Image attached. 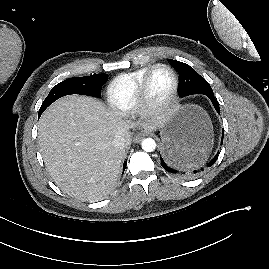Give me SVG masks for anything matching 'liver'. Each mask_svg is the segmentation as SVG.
Returning <instances> with one entry per match:
<instances>
[{"label": "liver", "instance_id": "6515ba94", "mask_svg": "<svg viewBox=\"0 0 269 269\" xmlns=\"http://www.w3.org/2000/svg\"><path fill=\"white\" fill-rule=\"evenodd\" d=\"M159 115L141 124L148 131L163 127ZM135 126L98 99L70 95L54 102L38 122V143L45 166L62 191L79 200H97L117 185L125 151ZM124 147L113 146L116 135Z\"/></svg>", "mask_w": 269, "mask_h": 269}]
</instances>
